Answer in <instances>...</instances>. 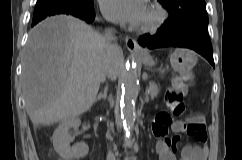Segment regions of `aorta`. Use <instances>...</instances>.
I'll return each instance as SVG.
<instances>
[{
	"label": "aorta",
	"instance_id": "762f6f07",
	"mask_svg": "<svg viewBox=\"0 0 242 160\" xmlns=\"http://www.w3.org/2000/svg\"><path fill=\"white\" fill-rule=\"evenodd\" d=\"M123 95L121 99V112L123 125L129 135L135 122V100L138 96V74L135 68H127L122 78Z\"/></svg>",
	"mask_w": 242,
	"mask_h": 160
}]
</instances>
